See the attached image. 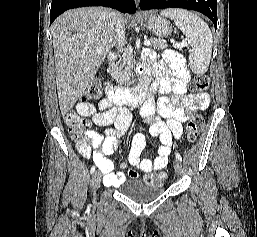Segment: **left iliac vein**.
<instances>
[{
    "label": "left iliac vein",
    "instance_id": "obj_1",
    "mask_svg": "<svg viewBox=\"0 0 257 237\" xmlns=\"http://www.w3.org/2000/svg\"><path fill=\"white\" fill-rule=\"evenodd\" d=\"M174 169L178 175H181L184 172V166L180 160L174 161Z\"/></svg>",
    "mask_w": 257,
    "mask_h": 237
}]
</instances>
